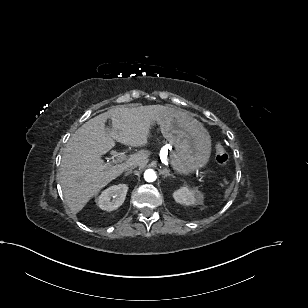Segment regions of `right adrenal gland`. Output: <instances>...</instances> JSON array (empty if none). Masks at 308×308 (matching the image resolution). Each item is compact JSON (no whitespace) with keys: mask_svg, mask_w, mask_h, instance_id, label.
<instances>
[{"mask_svg":"<svg viewBox=\"0 0 308 308\" xmlns=\"http://www.w3.org/2000/svg\"><path fill=\"white\" fill-rule=\"evenodd\" d=\"M131 173H132V170L126 172V173L124 174V176L126 177V176H128L129 174H131Z\"/></svg>","mask_w":308,"mask_h":308,"instance_id":"1","label":"right adrenal gland"}]
</instances>
